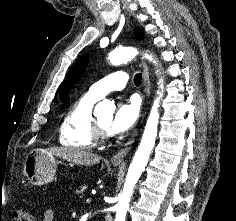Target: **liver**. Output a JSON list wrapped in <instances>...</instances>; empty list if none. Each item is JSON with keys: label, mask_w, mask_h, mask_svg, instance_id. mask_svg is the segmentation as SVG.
I'll list each match as a JSON object with an SVG mask.
<instances>
[{"label": "liver", "mask_w": 236, "mask_h": 221, "mask_svg": "<svg viewBox=\"0 0 236 221\" xmlns=\"http://www.w3.org/2000/svg\"><path fill=\"white\" fill-rule=\"evenodd\" d=\"M45 152L82 166L95 165L101 160L97 154L72 147H52L46 149Z\"/></svg>", "instance_id": "6515ba94"}]
</instances>
